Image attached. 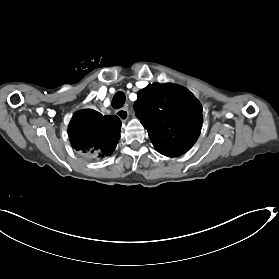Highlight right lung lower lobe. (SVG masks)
Instances as JSON below:
<instances>
[{"label": "right lung lower lobe", "instance_id": "right-lung-lower-lobe-1", "mask_svg": "<svg viewBox=\"0 0 279 279\" xmlns=\"http://www.w3.org/2000/svg\"><path fill=\"white\" fill-rule=\"evenodd\" d=\"M121 121L117 116H102L92 109L76 112L68 134L71 146L87 159H103L115 150L120 138Z\"/></svg>", "mask_w": 279, "mask_h": 279}]
</instances>
